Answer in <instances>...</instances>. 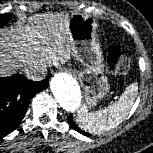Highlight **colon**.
I'll list each match as a JSON object with an SVG mask.
<instances>
[{"label": "colon", "instance_id": "obj_1", "mask_svg": "<svg viewBox=\"0 0 153 153\" xmlns=\"http://www.w3.org/2000/svg\"><path fill=\"white\" fill-rule=\"evenodd\" d=\"M107 69L112 74H121L128 71L130 58L116 45H112L106 52Z\"/></svg>", "mask_w": 153, "mask_h": 153}]
</instances>
